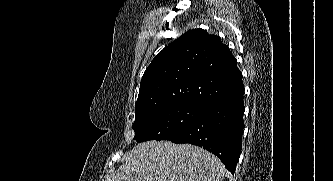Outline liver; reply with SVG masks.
<instances>
[{
	"mask_svg": "<svg viewBox=\"0 0 333 181\" xmlns=\"http://www.w3.org/2000/svg\"><path fill=\"white\" fill-rule=\"evenodd\" d=\"M124 159L106 181H222L225 174L217 156L191 144L147 141Z\"/></svg>",
	"mask_w": 333,
	"mask_h": 181,
	"instance_id": "obj_1",
	"label": "liver"
}]
</instances>
